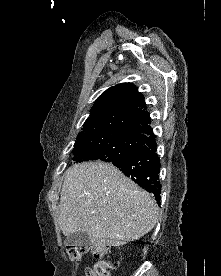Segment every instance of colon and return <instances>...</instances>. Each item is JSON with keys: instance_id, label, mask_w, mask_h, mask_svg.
Listing matches in <instances>:
<instances>
[{"instance_id": "5ec220e1", "label": "colon", "mask_w": 221, "mask_h": 276, "mask_svg": "<svg viewBox=\"0 0 221 276\" xmlns=\"http://www.w3.org/2000/svg\"><path fill=\"white\" fill-rule=\"evenodd\" d=\"M89 250L93 253L96 261L92 266L86 269L83 276H110V272L117 267V261L110 258H104L107 248L104 246L75 245L67 246L66 254L69 259L78 261Z\"/></svg>"}]
</instances>
